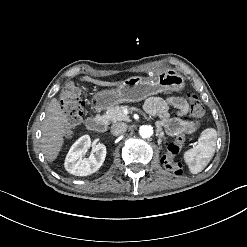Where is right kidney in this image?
Segmentation results:
<instances>
[{
  "mask_svg": "<svg viewBox=\"0 0 247 247\" xmlns=\"http://www.w3.org/2000/svg\"><path fill=\"white\" fill-rule=\"evenodd\" d=\"M91 146L95 154H91L88 158H83ZM105 157V145L91 143L90 136L83 135L71 146L65 158L64 167L67 172L73 175L87 176L96 172L102 166Z\"/></svg>",
  "mask_w": 247,
  "mask_h": 247,
  "instance_id": "1",
  "label": "right kidney"
}]
</instances>
